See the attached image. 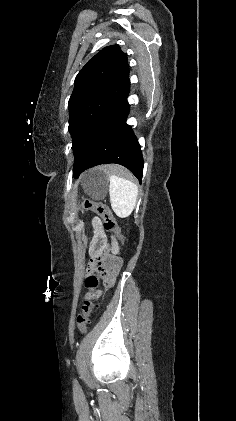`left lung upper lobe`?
<instances>
[{
  "label": "left lung upper lobe",
  "instance_id": "5c2ea615",
  "mask_svg": "<svg viewBox=\"0 0 236 421\" xmlns=\"http://www.w3.org/2000/svg\"><path fill=\"white\" fill-rule=\"evenodd\" d=\"M128 83V59L118 45L105 47L80 70L68 102L74 163L97 120L125 91Z\"/></svg>",
  "mask_w": 236,
  "mask_h": 421
}]
</instances>
